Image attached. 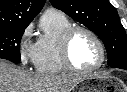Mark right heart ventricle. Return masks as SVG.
<instances>
[{"mask_svg":"<svg viewBox=\"0 0 127 92\" xmlns=\"http://www.w3.org/2000/svg\"><path fill=\"white\" fill-rule=\"evenodd\" d=\"M72 25L61 12L49 10L41 18V34L36 42L35 70L44 75L66 72L60 57V42L64 32Z\"/></svg>","mask_w":127,"mask_h":92,"instance_id":"e07e8e85","label":"right heart ventricle"}]
</instances>
